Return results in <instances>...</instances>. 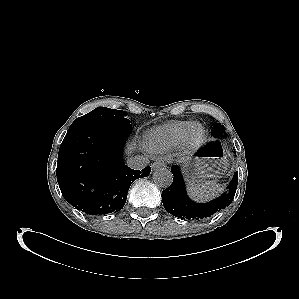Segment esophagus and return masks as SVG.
<instances>
[{"instance_id":"34e87169","label":"esophagus","mask_w":299,"mask_h":299,"mask_svg":"<svg viewBox=\"0 0 299 299\" xmlns=\"http://www.w3.org/2000/svg\"><path fill=\"white\" fill-rule=\"evenodd\" d=\"M152 169H159V168H163L166 167V163L163 160H159V161H155L152 165H151Z\"/></svg>"}]
</instances>
